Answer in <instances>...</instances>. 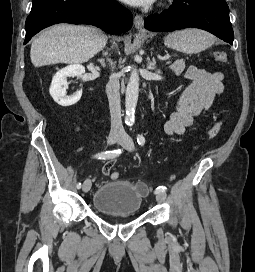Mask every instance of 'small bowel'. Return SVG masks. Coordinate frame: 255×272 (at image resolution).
<instances>
[{"label":"small bowel","instance_id":"c3829d8e","mask_svg":"<svg viewBox=\"0 0 255 272\" xmlns=\"http://www.w3.org/2000/svg\"><path fill=\"white\" fill-rule=\"evenodd\" d=\"M185 77L191 84L178 96L175 110L165 123V131L169 136L181 135L192 127L197 118L216 104L224 92V74L221 72L190 66ZM113 165V160H108L101 169L102 174L109 175Z\"/></svg>","mask_w":255,"mask_h":272}]
</instances>
